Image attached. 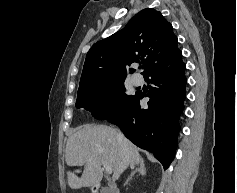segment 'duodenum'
Listing matches in <instances>:
<instances>
[{
  "label": "duodenum",
  "mask_w": 237,
  "mask_h": 193,
  "mask_svg": "<svg viewBox=\"0 0 237 193\" xmlns=\"http://www.w3.org/2000/svg\"><path fill=\"white\" fill-rule=\"evenodd\" d=\"M95 190H97V187L94 188ZM111 193H118L116 190L112 189Z\"/></svg>",
  "instance_id": "duodenum-1"
}]
</instances>
